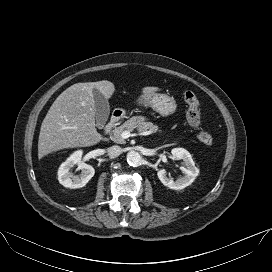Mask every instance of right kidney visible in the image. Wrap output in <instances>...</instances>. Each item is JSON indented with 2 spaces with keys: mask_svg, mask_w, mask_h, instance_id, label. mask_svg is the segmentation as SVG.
Masks as SVG:
<instances>
[{
  "mask_svg": "<svg viewBox=\"0 0 272 272\" xmlns=\"http://www.w3.org/2000/svg\"><path fill=\"white\" fill-rule=\"evenodd\" d=\"M82 154V150L75 151L60 165L58 169V180L64 187L71 189L84 187L94 176V168L81 161ZM75 165L81 170L80 175H73L71 173L70 170Z\"/></svg>",
  "mask_w": 272,
  "mask_h": 272,
  "instance_id": "obj_1",
  "label": "right kidney"
}]
</instances>
